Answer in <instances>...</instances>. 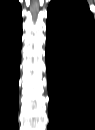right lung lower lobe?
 Instances as JSON below:
<instances>
[{
  "mask_svg": "<svg viewBox=\"0 0 95 130\" xmlns=\"http://www.w3.org/2000/svg\"><path fill=\"white\" fill-rule=\"evenodd\" d=\"M22 24L0 34V110L9 127L17 126Z\"/></svg>",
  "mask_w": 95,
  "mask_h": 130,
  "instance_id": "1",
  "label": "right lung lower lobe"
}]
</instances>
